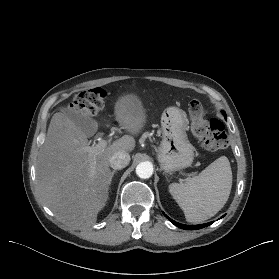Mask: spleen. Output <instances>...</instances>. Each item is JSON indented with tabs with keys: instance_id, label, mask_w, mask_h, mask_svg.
Here are the masks:
<instances>
[{
	"instance_id": "3e777b00",
	"label": "spleen",
	"mask_w": 279,
	"mask_h": 279,
	"mask_svg": "<svg viewBox=\"0 0 279 279\" xmlns=\"http://www.w3.org/2000/svg\"><path fill=\"white\" fill-rule=\"evenodd\" d=\"M231 188L230 162L226 156H221L198 176L183 184L172 183L169 192L183 210L187 222L202 223L224 207Z\"/></svg>"
}]
</instances>
